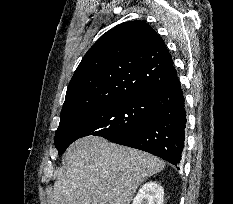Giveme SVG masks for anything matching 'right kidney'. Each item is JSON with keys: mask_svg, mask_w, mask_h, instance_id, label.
Here are the masks:
<instances>
[{"mask_svg": "<svg viewBox=\"0 0 233 204\" xmlns=\"http://www.w3.org/2000/svg\"><path fill=\"white\" fill-rule=\"evenodd\" d=\"M164 189L156 182L145 183L138 191L132 204H163Z\"/></svg>", "mask_w": 233, "mask_h": 204, "instance_id": "ca27d5eb", "label": "right kidney"}]
</instances>
